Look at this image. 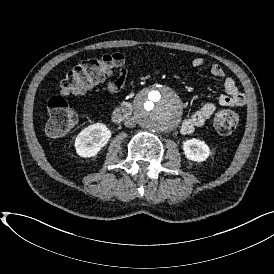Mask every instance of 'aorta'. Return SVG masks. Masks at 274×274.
<instances>
[{
	"mask_svg": "<svg viewBox=\"0 0 274 274\" xmlns=\"http://www.w3.org/2000/svg\"><path fill=\"white\" fill-rule=\"evenodd\" d=\"M135 120L151 131H169L181 120L180 100L169 88L156 86L135 101Z\"/></svg>",
	"mask_w": 274,
	"mask_h": 274,
	"instance_id": "aorta-1",
	"label": "aorta"
}]
</instances>
